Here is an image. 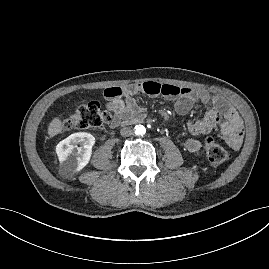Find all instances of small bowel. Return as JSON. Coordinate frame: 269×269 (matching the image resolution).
<instances>
[{
    "instance_id": "1",
    "label": "small bowel",
    "mask_w": 269,
    "mask_h": 269,
    "mask_svg": "<svg viewBox=\"0 0 269 269\" xmlns=\"http://www.w3.org/2000/svg\"><path fill=\"white\" fill-rule=\"evenodd\" d=\"M146 93L151 96L163 95L169 100H175V110L178 114H186L196 103L205 108L202 118L187 124L192 135H200L218 129L223 139L232 149H239L243 140V123L237 111L224 98L211 94L204 89L162 85L157 82L136 83L127 88L109 87L105 89L106 107L113 113L111 126L120 121L142 117L143 108L140 107L134 94ZM184 147L189 152H198L202 145L194 138H188Z\"/></svg>"
}]
</instances>
